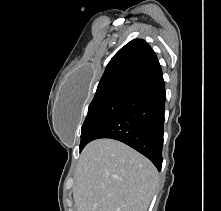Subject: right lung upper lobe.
Here are the masks:
<instances>
[{"mask_svg": "<svg viewBox=\"0 0 221 211\" xmlns=\"http://www.w3.org/2000/svg\"><path fill=\"white\" fill-rule=\"evenodd\" d=\"M162 77L161 66L153 49L146 41L134 39L110 60L95 96L118 88L135 90Z\"/></svg>", "mask_w": 221, "mask_h": 211, "instance_id": "cb5924a9", "label": "right lung upper lobe"}]
</instances>
